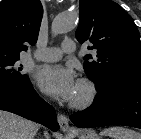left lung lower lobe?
I'll use <instances>...</instances> for the list:
<instances>
[{"label": "left lung lower lobe", "mask_w": 141, "mask_h": 139, "mask_svg": "<svg viewBox=\"0 0 141 139\" xmlns=\"http://www.w3.org/2000/svg\"><path fill=\"white\" fill-rule=\"evenodd\" d=\"M78 127L126 125L141 128V82H120L98 91L94 103L70 116Z\"/></svg>", "instance_id": "left-lung-lower-lobe-1"}]
</instances>
